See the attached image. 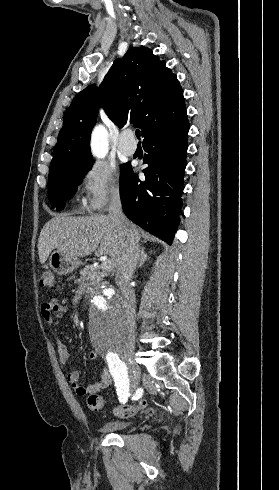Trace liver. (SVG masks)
<instances>
[{
  "label": "liver",
  "instance_id": "1",
  "mask_svg": "<svg viewBox=\"0 0 279 490\" xmlns=\"http://www.w3.org/2000/svg\"><path fill=\"white\" fill-rule=\"evenodd\" d=\"M129 222V220H128ZM126 230H130L137 240L145 236L143 230L129 222L128 228H117L108 216H87V218H66L59 214L43 226L38 242L40 264H45L52 250L72 258H84L91 252L108 254L113 264L121 262L126 242ZM100 244V246H99Z\"/></svg>",
  "mask_w": 279,
  "mask_h": 490
}]
</instances>
